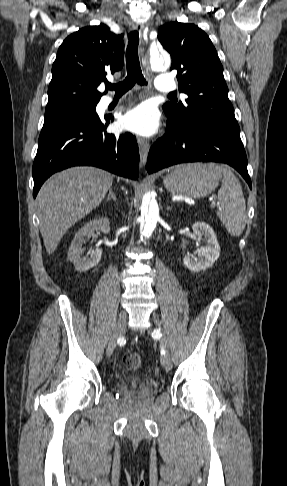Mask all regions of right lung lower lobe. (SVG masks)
<instances>
[{
  "label": "right lung lower lobe",
  "instance_id": "right-lung-lower-lobe-1",
  "mask_svg": "<svg viewBox=\"0 0 287 486\" xmlns=\"http://www.w3.org/2000/svg\"><path fill=\"white\" fill-rule=\"evenodd\" d=\"M113 121L97 116L42 128L33 164V197L53 173L71 166L89 165L137 179L139 152L135 137L115 136L105 129Z\"/></svg>",
  "mask_w": 287,
  "mask_h": 486
}]
</instances>
